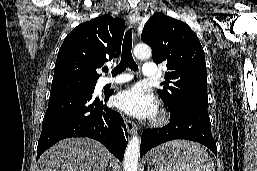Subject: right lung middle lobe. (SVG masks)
<instances>
[{
    "instance_id": "obj_1",
    "label": "right lung middle lobe",
    "mask_w": 257,
    "mask_h": 171,
    "mask_svg": "<svg viewBox=\"0 0 257 171\" xmlns=\"http://www.w3.org/2000/svg\"><path fill=\"white\" fill-rule=\"evenodd\" d=\"M96 83L73 84L68 86H52L51 92L70 90V89H86L94 91Z\"/></svg>"
}]
</instances>
